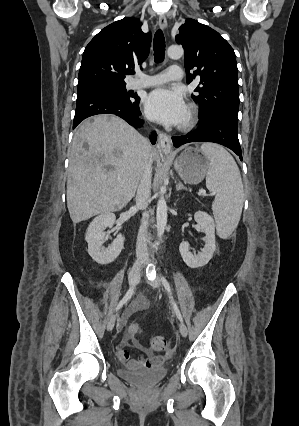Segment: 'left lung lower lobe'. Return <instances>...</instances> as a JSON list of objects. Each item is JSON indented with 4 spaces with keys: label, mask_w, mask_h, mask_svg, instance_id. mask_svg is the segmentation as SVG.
<instances>
[{
    "label": "left lung lower lobe",
    "mask_w": 299,
    "mask_h": 426,
    "mask_svg": "<svg viewBox=\"0 0 299 426\" xmlns=\"http://www.w3.org/2000/svg\"><path fill=\"white\" fill-rule=\"evenodd\" d=\"M199 118L201 122L196 130L184 136L172 137L175 147L190 142H214L230 148L242 160V152L238 140V121L220 113Z\"/></svg>",
    "instance_id": "1"
}]
</instances>
